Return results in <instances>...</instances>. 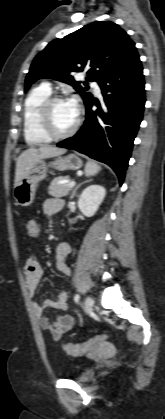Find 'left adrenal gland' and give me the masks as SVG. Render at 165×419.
<instances>
[{"mask_svg": "<svg viewBox=\"0 0 165 419\" xmlns=\"http://www.w3.org/2000/svg\"><path fill=\"white\" fill-rule=\"evenodd\" d=\"M86 182H87V181H86ZM84 183H85V182L80 183V184H78V185L74 188V190H73V192H72V194H71L70 199H72V198L75 196L77 189H78V188H79L82 184H84Z\"/></svg>", "mask_w": 165, "mask_h": 419, "instance_id": "obj_1", "label": "left adrenal gland"}]
</instances>
